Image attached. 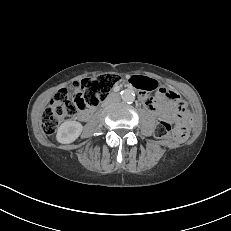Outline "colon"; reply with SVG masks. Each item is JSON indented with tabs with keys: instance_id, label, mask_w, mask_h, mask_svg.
Masks as SVG:
<instances>
[{
	"instance_id": "5ec220e1",
	"label": "colon",
	"mask_w": 231,
	"mask_h": 231,
	"mask_svg": "<svg viewBox=\"0 0 231 231\" xmlns=\"http://www.w3.org/2000/svg\"><path fill=\"white\" fill-rule=\"evenodd\" d=\"M119 81V75L106 73L75 82L72 86L73 95L69 90L58 92L43 113L41 120L43 132L52 134L62 121L75 117L86 108L98 106ZM132 85L141 92H148L156 87V83L143 77L133 78ZM160 95L169 99L168 88H162ZM176 115L179 118L178 122H174L172 118H165L158 123L156 135L159 138L182 140L187 137L189 133V127L185 122L187 110L182 104L178 105Z\"/></svg>"
}]
</instances>
